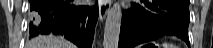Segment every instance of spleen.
I'll list each match as a JSON object with an SVG mask.
<instances>
[{
    "mask_svg": "<svg viewBox=\"0 0 213 48\" xmlns=\"http://www.w3.org/2000/svg\"><path fill=\"white\" fill-rule=\"evenodd\" d=\"M162 47H163V48H178L175 44L170 43V42H164V43L162 44Z\"/></svg>",
    "mask_w": 213,
    "mask_h": 48,
    "instance_id": "obj_1",
    "label": "spleen"
}]
</instances>
